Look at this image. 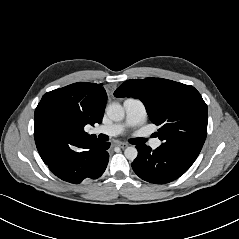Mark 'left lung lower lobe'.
I'll return each instance as SVG.
<instances>
[{
  "mask_svg": "<svg viewBox=\"0 0 239 239\" xmlns=\"http://www.w3.org/2000/svg\"><path fill=\"white\" fill-rule=\"evenodd\" d=\"M136 148L138 156L132 163L134 172L141 179L155 184H164L179 178L197 158L165 144L155 150L146 145H139Z\"/></svg>",
  "mask_w": 239,
  "mask_h": 239,
  "instance_id": "left-lung-lower-lobe-1",
  "label": "left lung lower lobe"
}]
</instances>
